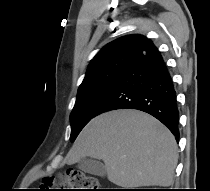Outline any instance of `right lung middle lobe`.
<instances>
[{
	"mask_svg": "<svg viewBox=\"0 0 210 191\" xmlns=\"http://www.w3.org/2000/svg\"><path fill=\"white\" fill-rule=\"evenodd\" d=\"M130 59L126 56L112 59L84 78L70 116L72 142L83 127L97 115L99 106L117 83Z\"/></svg>",
	"mask_w": 210,
	"mask_h": 191,
	"instance_id": "dd1d6c3e",
	"label": "right lung middle lobe"
}]
</instances>
